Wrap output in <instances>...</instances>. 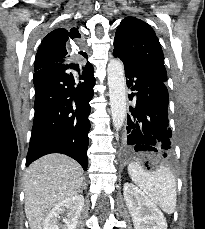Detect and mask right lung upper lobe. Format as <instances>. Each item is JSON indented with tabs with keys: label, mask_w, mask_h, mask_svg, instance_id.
<instances>
[{
	"label": "right lung upper lobe",
	"mask_w": 205,
	"mask_h": 229,
	"mask_svg": "<svg viewBox=\"0 0 205 229\" xmlns=\"http://www.w3.org/2000/svg\"><path fill=\"white\" fill-rule=\"evenodd\" d=\"M80 38L81 35L75 27L71 29L59 28L50 32L38 48L34 70L37 71L53 64H64L79 71L78 65H75L72 60L74 52L88 58L85 52L76 48V46H79ZM90 65V63H87L85 67Z\"/></svg>",
	"instance_id": "obj_1"
}]
</instances>
